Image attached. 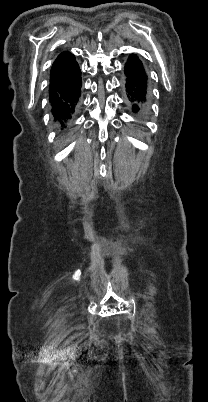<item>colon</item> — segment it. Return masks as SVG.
<instances>
[{
	"instance_id": "obj_1",
	"label": "colon",
	"mask_w": 208,
	"mask_h": 402,
	"mask_svg": "<svg viewBox=\"0 0 208 402\" xmlns=\"http://www.w3.org/2000/svg\"><path fill=\"white\" fill-rule=\"evenodd\" d=\"M110 324H111V325H114V324H115V321H114V320H111V321H110Z\"/></svg>"
}]
</instances>
